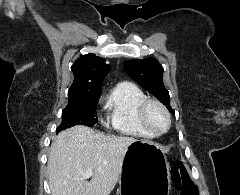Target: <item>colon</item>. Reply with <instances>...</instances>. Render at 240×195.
<instances>
[{
    "mask_svg": "<svg viewBox=\"0 0 240 195\" xmlns=\"http://www.w3.org/2000/svg\"><path fill=\"white\" fill-rule=\"evenodd\" d=\"M173 175L178 178L181 185L177 186V191H182L183 195H197V187L185 166H176Z\"/></svg>",
    "mask_w": 240,
    "mask_h": 195,
    "instance_id": "5ec220e1",
    "label": "colon"
}]
</instances>
